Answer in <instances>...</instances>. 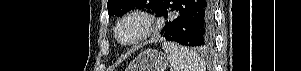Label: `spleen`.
I'll list each match as a JSON object with an SVG mask.
<instances>
[{
  "instance_id": "1",
  "label": "spleen",
  "mask_w": 301,
  "mask_h": 71,
  "mask_svg": "<svg viewBox=\"0 0 301 71\" xmlns=\"http://www.w3.org/2000/svg\"><path fill=\"white\" fill-rule=\"evenodd\" d=\"M162 48L170 62V71H205L199 55L174 42H164Z\"/></svg>"
}]
</instances>
